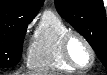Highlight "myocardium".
<instances>
[{
  "instance_id": "1",
  "label": "myocardium",
  "mask_w": 107,
  "mask_h": 75,
  "mask_svg": "<svg viewBox=\"0 0 107 75\" xmlns=\"http://www.w3.org/2000/svg\"><path fill=\"white\" fill-rule=\"evenodd\" d=\"M73 38L80 39L88 48V50L90 52V56H91V59H90V62L88 65L82 66L73 60V58L70 54V50H69L70 42ZM61 52H62V56H63V59L65 60V62L69 66H71L72 68L77 69V70L90 69L93 66V64L95 62V58H96L95 50H94L93 46L91 45V43L88 41V39L81 33L77 32V31H73V30L68 31L63 36L62 41H61Z\"/></svg>"
}]
</instances>
